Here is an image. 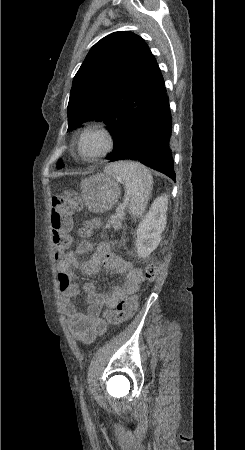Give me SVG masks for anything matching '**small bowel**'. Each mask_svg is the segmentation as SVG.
I'll return each mask as SVG.
<instances>
[{
	"label": "small bowel",
	"instance_id": "obj_1",
	"mask_svg": "<svg viewBox=\"0 0 245 450\" xmlns=\"http://www.w3.org/2000/svg\"><path fill=\"white\" fill-rule=\"evenodd\" d=\"M90 248L91 243H82L78 249L71 250L57 265L58 284L63 293L61 303L64 317L72 334L84 343H90L106 332L107 324L100 317L103 307L114 309L117 302L135 292L143 280L141 271L113 254L108 243L98 244L91 257L82 261L81 257ZM72 266L82 268L87 274H93L104 268L113 274L125 276V280L105 295L98 294L94 283H85L83 289L89 307L87 311H81L75 304V299L80 294V286L74 279Z\"/></svg>",
	"mask_w": 245,
	"mask_h": 450
}]
</instances>
